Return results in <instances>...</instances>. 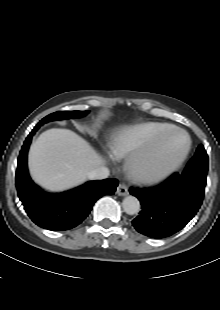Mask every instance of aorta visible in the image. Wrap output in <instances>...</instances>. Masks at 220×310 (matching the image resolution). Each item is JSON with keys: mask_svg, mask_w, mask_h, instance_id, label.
I'll use <instances>...</instances> for the list:
<instances>
[{"mask_svg": "<svg viewBox=\"0 0 220 310\" xmlns=\"http://www.w3.org/2000/svg\"><path fill=\"white\" fill-rule=\"evenodd\" d=\"M122 206L124 212H126L128 215H134L140 210L139 200L131 195L123 199Z\"/></svg>", "mask_w": 220, "mask_h": 310, "instance_id": "aorta-1", "label": "aorta"}]
</instances>
